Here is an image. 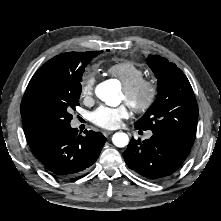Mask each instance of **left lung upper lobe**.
<instances>
[{
	"mask_svg": "<svg viewBox=\"0 0 221 221\" xmlns=\"http://www.w3.org/2000/svg\"><path fill=\"white\" fill-rule=\"evenodd\" d=\"M147 63L158 79L155 102L136 123L192 148L196 137L198 105L184 73L166 58L149 55Z\"/></svg>",
	"mask_w": 221,
	"mask_h": 221,
	"instance_id": "1",
	"label": "left lung upper lobe"
}]
</instances>
